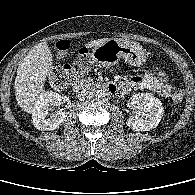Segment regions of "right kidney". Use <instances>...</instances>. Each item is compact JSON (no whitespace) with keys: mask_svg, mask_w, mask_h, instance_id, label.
<instances>
[{"mask_svg":"<svg viewBox=\"0 0 195 195\" xmlns=\"http://www.w3.org/2000/svg\"><path fill=\"white\" fill-rule=\"evenodd\" d=\"M61 104L62 96L60 94L53 91L41 93L32 112L35 128L48 131L57 129L66 119L65 112L60 109L50 116L48 114L52 106L58 107Z\"/></svg>","mask_w":195,"mask_h":195,"instance_id":"1","label":"right kidney"}]
</instances>
